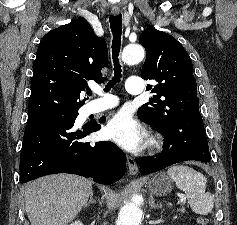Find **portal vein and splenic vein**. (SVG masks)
Segmentation results:
<instances>
[{
  "label": "portal vein and splenic vein",
  "instance_id": "portal-vein-and-splenic-vein-1",
  "mask_svg": "<svg viewBox=\"0 0 237 225\" xmlns=\"http://www.w3.org/2000/svg\"><path fill=\"white\" fill-rule=\"evenodd\" d=\"M181 200L185 203L186 202V198L183 195H180Z\"/></svg>",
  "mask_w": 237,
  "mask_h": 225
}]
</instances>
